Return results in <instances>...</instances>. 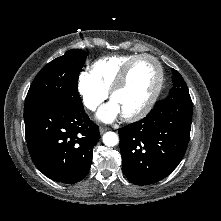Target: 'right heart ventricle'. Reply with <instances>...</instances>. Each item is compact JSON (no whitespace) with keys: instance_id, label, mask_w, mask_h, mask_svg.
I'll return each instance as SVG.
<instances>
[{"instance_id":"1","label":"right heart ventricle","mask_w":221,"mask_h":221,"mask_svg":"<svg viewBox=\"0 0 221 221\" xmlns=\"http://www.w3.org/2000/svg\"><path fill=\"white\" fill-rule=\"evenodd\" d=\"M138 54H120L100 58L91 65V75L97 84L109 92L122 68Z\"/></svg>"}]
</instances>
